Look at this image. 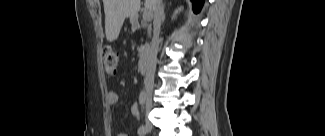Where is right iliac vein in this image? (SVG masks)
<instances>
[{
    "mask_svg": "<svg viewBox=\"0 0 325 136\" xmlns=\"http://www.w3.org/2000/svg\"><path fill=\"white\" fill-rule=\"evenodd\" d=\"M145 127H146V130H148V131H151V129H152V125L149 121L146 122Z\"/></svg>",
    "mask_w": 325,
    "mask_h": 136,
    "instance_id": "obj_1",
    "label": "right iliac vein"
}]
</instances>
